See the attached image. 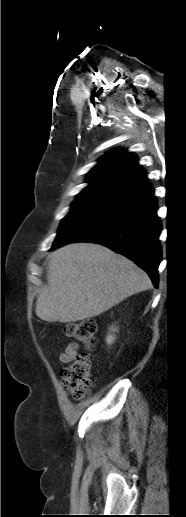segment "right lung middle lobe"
<instances>
[{
  "label": "right lung middle lobe",
  "instance_id": "right-lung-middle-lobe-1",
  "mask_svg": "<svg viewBox=\"0 0 186 517\" xmlns=\"http://www.w3.org/2000/svg\"><path fill=\"white\" fill-rule=\"evenodd\" d=\"M115 203L116 202L112 200L77 197L72 205L71 211L61 222L53 246L63 242L75 231L105 212Z\"/></svg>",
  "mask_w": 186,
  "mask_h": 517
}]
</instances>
